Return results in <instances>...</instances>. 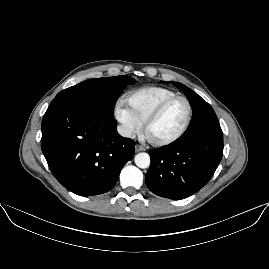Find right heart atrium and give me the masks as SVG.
Masks as SVG:
<instances>
[{
  "instance_id": "1",
  "label": "right heart atrium",
  "mask_w": 269,
  "mask_h": 269,
  "mask_svg": "<svg viewBox=\"0 0 269 269\" xmlns=\"http://www.w3.org/2000/svg\"><path fill=\"white\" fill-rule=\"evenodd\" d=\"M115 117L122 124L126 135H135L141 132L142 125L133 116L123 99H119L115 105Z\"/></svg>"
}]
</instances>
